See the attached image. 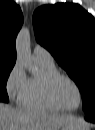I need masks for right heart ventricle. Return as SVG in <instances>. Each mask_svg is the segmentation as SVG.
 Listing matches in <instances>:
<instances>
[{
	"label": "right heart ventricle",
	"mask_w": 95,
	"mask_h": 130,
	"mask_svg": "<svg viewBox=\"0 0 95 130\" xmlns=\"http://www.w3.org/2000/svg\"><path fill=\"white\" fill-rule=\"evenodd\" d=\"M41 70L40 76L28 78L26 89L20 103L25 108L60 111L61 109L51 102L47 95L46 83L49 77L59 71L53 63L37 61Z\"/></svg>",
	"instance_id": "right-heart-ventricle-1"
}]
</instances>
